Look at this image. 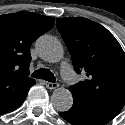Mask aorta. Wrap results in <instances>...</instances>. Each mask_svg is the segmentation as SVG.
<instances>
[{
    "label": "aorta",
    "instance_id": "aorta-1",
    "mask_svg": "<svg viewBox=\"0 0 125 125\" xmlns=\"http://www.w3.org/2000/svg\"><path fill=\"white\" fill-rule=\"evenodd\" d=\"M36 47L39 56L47 62L56 63L63 58V46L61 42L53 36H41L36 42ZM51 102L55 110L65 112L72 107L73 97L68 89L61 87L53 91Z\"/></svg>",
    "mask_w": 125,
    "mask_h": 125
}]
</instances>
